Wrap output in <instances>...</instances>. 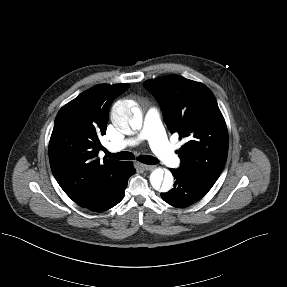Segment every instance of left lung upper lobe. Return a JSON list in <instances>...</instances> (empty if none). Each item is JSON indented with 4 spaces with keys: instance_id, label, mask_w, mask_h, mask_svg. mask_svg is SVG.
I'll use <instances>...</instances> for the list:
<instances>
[{
    "instance_id": "obj_1",
    "label": "left lung upper lobe",
    "mask_w": 287,
    "mask_h": 287,
    "mask_svg": "<svg viewBox=\"0 0 287 287\" xmlns=\"http://www.w3.org/2000/svg\"><path fill=\"white\" fill-rule=\"evenodd\" d=\"M163 109L171 133L188 137L177 154L179 169L187 170L201 183L212 187L227 159L228 132L211 90L204 84L170 75L145 81Z\"/></svg>"
}]
</instances>
